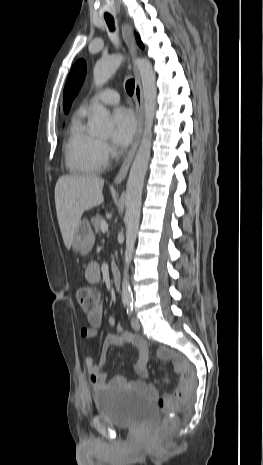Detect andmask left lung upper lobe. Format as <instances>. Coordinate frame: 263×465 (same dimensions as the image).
Here are the masks:
<instances>
[{
	"instance_id": "5c2ea615",
	"label": "left lung upper lobe",
	"mask_w": 263,
	"mask_h": 465,
	"mask_svg": "<svg viewBox=\"0 0 263 465\" xmlns=\"http://www.w3.org/2000/svg\"><path fill=\"white\" fill-rule=\"evenodd\" d=\"M137 42L143 48L139 35H136ZM86 74V63L78 60L72 67L64 88V112L68 113L74 97L79 92Z\"/></svg>"
}]
</instances>
